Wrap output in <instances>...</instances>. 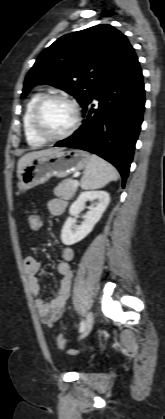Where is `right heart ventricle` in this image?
Masks as SVG:
<instances>
[{
	"mask_svg": "<svg viewBox=\"0 0 165 419\" xmlns=\"http://www.w3.org/2000/svg\"><path fill=\"white\" fill-rule=\"evenodd\" d=\"M41 96L42 95L40 93H35L30 97V99L28 100L25 106L23 119H22L25 139L27 143L32 147H40L45 143V141L39 138L33 131L32 122H31V115H32L33 107L35 103L40 99Z\"/></svg>",
	"mask_w": 165,
	"mask_h": 419,
	"instance_id": "1",
	"label": "right heart ventricle"
}]
</instances>
